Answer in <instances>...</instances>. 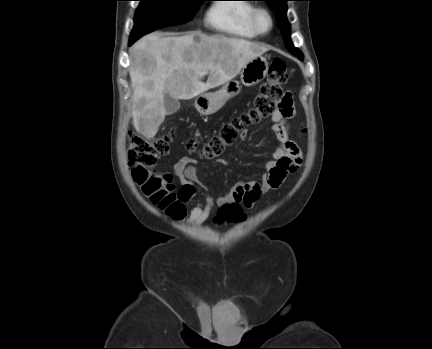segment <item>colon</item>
I'll list each match as a JSON object with an SVG mask.
<instances>
[{
	"mask_svg": "<svg viewBox=\"0 0 432 349\" xmlns=\"http://www.w3.org/2000/svg\"><path fill=\"white\" fill-rule=\"evenodd\" d=\"M287 79L285 61L275 58L271 62L267 79L262 84L253 105L246 112L226 123L219 133L202 147H199L196 140H188L187 149L199 152L205 159H215L243 134L246 126L258 123L276 112L289 113L292 107V96L290 92L283 89ZM173 136V133L169 132L148 139L139 134H130L127 156L133 179L144 195L169 215L180 217L184 212V206L175 192L172 175L155 169L157 161L169 152ZM222 210L224 216L229 219L238 220L242 217L238 204L225 205Z\"/></svg>",
	"mask_w": 432,
	"mask_h": 349,
	"instance_id": "colon-1",
	"label": "colon"
}]
</instances>
